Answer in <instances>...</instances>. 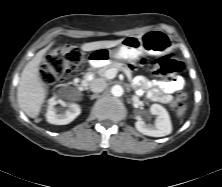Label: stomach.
<instances>
[{
  "label": "stomach",
  "mask_w": 222,
  "mask_h": 187,
  "mask_svg": "<svg viewBox=\"0 0 222 187\" xmlns=\"http://www.w3.org/2000/svg\"><path fill=\"white\" fill-rule=\"evenodd\" d=\"M174 49V43L166 32L151 30L142 36H127L114 49L101 48L94 50L90 56L92 63H107L109 60L131 62L143 53L159 56Z\"/></svg>",
  "instance_id": "obj_1"
}]
</instances>
